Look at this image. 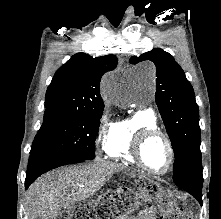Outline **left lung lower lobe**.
I'll list each match as a JSON object with an SVG mask.
<instances>
[{"mask_svg": "<svg viewBox=\"0 0 221 219\" xmlns=\"http://www.w3.org/2000/svg\"><path fill=\"white\" fill-rule=\"evenodd\" d=\"M181 188H183L185 191L195 197L202 205V186H181Z\"/></svg>", "mask_w": 221, "mask_h": 219, "instance_id": "obj_1", "label": "left lung lower lobe"}]
</instances>
